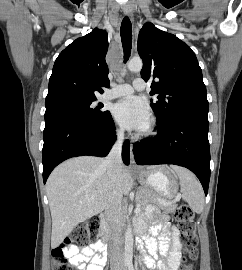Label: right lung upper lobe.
Returning a JSON list of instances; mask_svg holds the SVG:
<instances>
[{"label":"right lung upper lobe","mask_w":242,"mask_h":270,"mask_svg":"<svg viewBox=\"0 0 242 270\" xmlns=\"http://www.w3.org/2000/svg\"><path fill=\"white\" fill-rule=\"evenodd\" d=\"M107 49V33L97 28L67 46L54 63L46 106L96 99L95 92L102 93L101 87H109Z\"/></svg>","instance_id":"cb5924a9"}]
</instances>
